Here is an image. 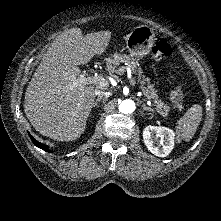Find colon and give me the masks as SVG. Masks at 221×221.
I'll use <instances>...</instances> for the list:
<instances>
[{
	"instance_id": "5ec220e1",
	"label": "colon",
	"mask_w": 221,
	"mask_h": 221,
	"mask_svg": "<svg viewBox=\"0 0 221 221\" xmlns=\"http://www.w3.org/2000/svg\"><path fill=\"white\" fill-rule=\"evenodd\" d=\"M152 54L157 61H167L172 56V47L167 39L157 37L154 41ZM170 99L177 108H181L184 100V95L179 85H174L170 90Z\"/></svg>"
}]
</instances>
